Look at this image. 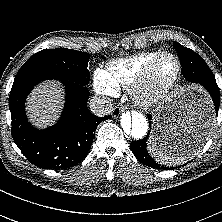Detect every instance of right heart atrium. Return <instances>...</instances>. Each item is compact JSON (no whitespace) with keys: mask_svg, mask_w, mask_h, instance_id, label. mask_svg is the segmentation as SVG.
Masks as SVG:
<instances>
[{"mask_svg":"<svg viewBox=\"0 0 222 222\" xmlns=\"http://www.w3.org/2000/svg\"><path fill=\"white\" fill-rule=\"evenodd\" d=\"M94 89L103 96L114 97L118 93V89L109 81L106 72L97 69L94 72Z\"/></svg>","mask_w":222,"mask_h":222,"instance_id":"obj_1","label":"right heart atrium"}]
</instances>
